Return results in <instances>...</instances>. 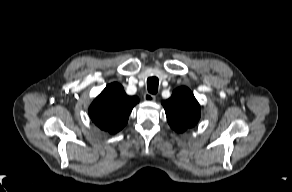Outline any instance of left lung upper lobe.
Listing matches in <instances>:
<instances>
[{"mask_svg": "<svg viewBox=\"0 0 292 192\" xmlns=\"http://www.w3.org/2000/svg\"><path fill=\"white\" fill-rule=\"evenodd\" d=\"M162 104L169 125L177 132L195 126L200 119V105L187 87L174 90L172 96Z\"/></svg>", "mask_w": 292, "mask_h": 192, "instance_id": "5c2ea615", "label": "left lung upper lobe"}]
</instances>
